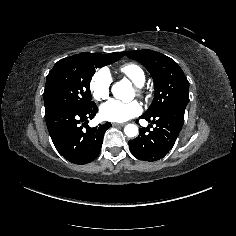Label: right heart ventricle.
<instances>
[{"mask_svg":"<svg viewBox=\"0 0 236 236\" xmlns=\"http://www.w3.org/2000/svg\"><path fill=\"white\" fill-rule=\"evenodd\" d=\"M120 72L134 84L142 85L145 81V73L136 63H125L120 67Z\"/></svg>","mask_w":236,"mask_h":236,"instance_id":"right-heart-ventricle-1","label":"right heart ventricle"}]
</instances>
